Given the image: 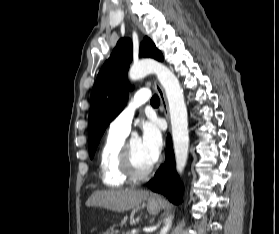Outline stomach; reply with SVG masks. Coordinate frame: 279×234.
<instances>
[{"instance_id":"0dacf381","label":"stomach","mask_w":279,"mask_h":234,"mask_svg":"<svg viewBox=\"0 0 279 234\" xmlns=\"http://www.w3.org/2000/svg\"><path fill=\"white\" fill-rule=\"evenodd\" d=\"M146 207L149 213L156 214L159 211L161 204L159 202H153L148 199L146 202Z\"/></svg>"}]
</instances>
